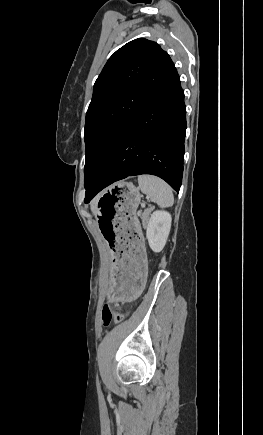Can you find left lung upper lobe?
I'll return each mask as SVG.
<instances>
[{
  "label": "left lung upper lobe",
  "instance_id": "1",
  "mask_svg": "<svg viewBox=\"0 0 263 435\" xmlns=\"http://www.w3.org/2000/svg\"><path fill=\"white\" fill-rule=\"evenodd\" d=\"M176 73L170 56L144 38L128 42L109 58L94 84L86 113V190L129 124Z\"/></svg>",
  "mask_w": 263,
  "mask_h": 435
}]
</instances>
